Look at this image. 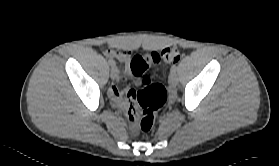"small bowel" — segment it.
I'll return each instance as SVG.
<instances>
[{"label":"small bowel","instance_id":"obj_1","mask_svg":"<svg viewBox=\"0 0 279 166\" xmlns=\"http://www.w3.org/2000/svg\"><path fill=\"white\" fill-rule=\"evenodd\" d=\"M105 55L110 57V58H114L116 60H118L119 62H125L127 64H129L130 58H131V52L130 51H117L114 49H107L105 50ZM127 72L130 73V67L129 65L127 66ZM127 97H128V101L125 100L123 98V93L121 92V90L119 89V87L114 84L110 87L109 89V96L112 100V102L126 110L127 116L129 118V120L132 122V129L133 131H135V118H136V114L138 109H139V105L137 102L138 100V95L136 93V91H134L132 88H128L125 91Z\"/></svg>","mask_w":279,"mask_h":166}]
</instances>
